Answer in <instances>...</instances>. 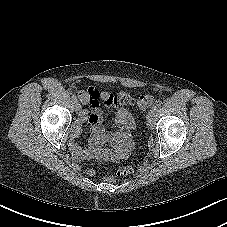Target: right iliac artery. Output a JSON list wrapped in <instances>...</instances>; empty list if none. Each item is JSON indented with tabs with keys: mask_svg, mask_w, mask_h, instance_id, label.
I'll return each instance as SVG.
<instances>
[{
	"mask_svg": "<svg viewBox=\"0 0 227 227\" xmlns=\"http://www.w3.org/2000/svg\"><path fill=\"white\" fill-rule=\"evenodd\" d=\"M72 101L75 103L77 101V97L75 95H72Z\"/></svg>",
	"mask_w": 227,
	"mask_h": 227,
	"instance_id": "1",
	"label": "right iliac artery"
}]
</instances>
